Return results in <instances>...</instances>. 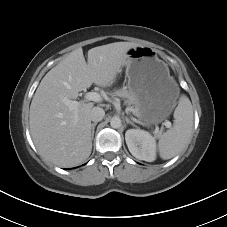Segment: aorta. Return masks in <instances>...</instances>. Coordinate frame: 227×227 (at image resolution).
Segmentation results:
<instances>
[{
  "label": "aorta",
  "mask_w": 227,
  "mask_h": 227,
  "mask_svg": "<svg viewBox=\"0 0 227 227\" xmlns=\"http://www.w3.org/2000/svg\"><path fill=\"white\" fill-rule=\"evenodd\" d=\"M110 125L112 128H119L121 126V120L119 117H113L110 121Z\"/></svg>",
  "instance_id": "aorta-1"
}]
</instances>
